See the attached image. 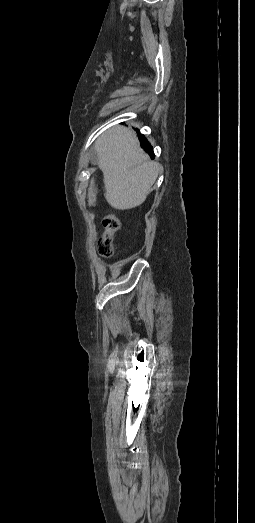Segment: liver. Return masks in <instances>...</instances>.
Here are the masks:
<instances>
[{"mask_svg":"<svg viewBox=\"0 0 255 523\" xmlns=\"http://www.w3.org/2000/svg\"><path fill=\"white\" fill-rule=\"evenodd\" d=\"M95 148L108 204L115 210H131L143 204L161 168L140 148L135 132L115 126L96 140Z\"/></svg>","mask_w":255,"mask_h":523,"instance_id":"obj_1","label":"liver"}]
</instances>
